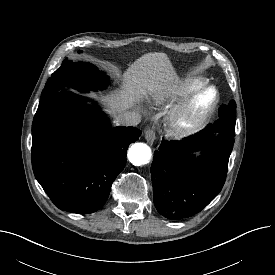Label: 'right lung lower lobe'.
Segmentation results:
<instances>
[{
	"label": "right lung lower lobe",
	"mask_w": 275,
	"mask_h": 275,
	"mask_svg": "<svg viewBox=\"0 0 275 275\" xmlns=\"http://www.w3.org/2000/svg\"><path fill=\"white\" fill-rule=\"evenodd\" d=\"M140 134L135 127L112 128L97 106L60 91L33 120L34 175L59 209L93 213L107 200Z\"/></svg>",
	"instance_id": "98d812e1"
}]
</instances>
